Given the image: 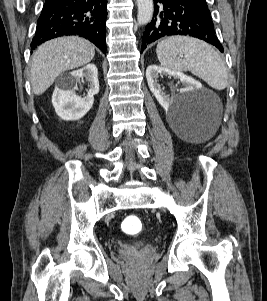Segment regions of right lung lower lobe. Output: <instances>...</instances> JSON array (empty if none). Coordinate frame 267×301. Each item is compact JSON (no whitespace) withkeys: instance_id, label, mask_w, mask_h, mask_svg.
Here are the masks:
<instances>
[{"instance_id":"right-lung-lower-lobe-1","label":"right lung lower lobe","mask_w":267,"mask_h":301,"mask_svg":"<svg viewBox=\"0 0 267 301\" xmlns=\"http://www.w3.org/2000/svg\"><path fill=\"white\" fill-rule=\"evenodd\" d=\"M106 0H53L46 2L37 21L31 43L39 44L55 37L77 35L89 39L106 52Z\"/></svg>"}]
</instances>
